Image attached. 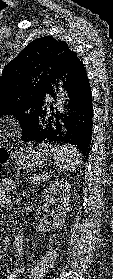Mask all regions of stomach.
Returning a JSON list of instances; mask_svg holds the SVG:
<instances>
[{
  "instance_id": "0dacf381",
  "label": "stomach",
  "mask_w": 113,
  "mask_h": 279,
  "mask_svg": "<svg viewBox=\"0 0 113 279\" xmlns=\"http://www.w3.org/2000/svg\"><path fill=\"white\" fill-rule=\"evenodd\" d=\"M50 156L40 145L27 144L12 151L10 158L17 167L34 170L44 166Z\"/></svg>"
}]
</instances>
